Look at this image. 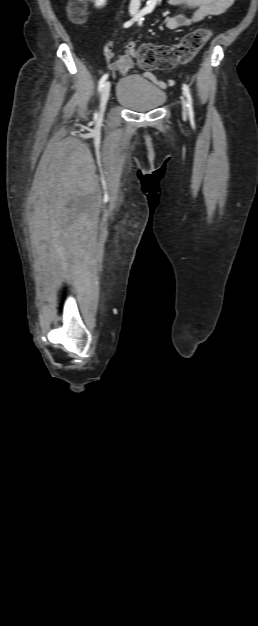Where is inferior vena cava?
Wrapping results in <instances>:
<instances>
[{"label":"inferior vena cava","mask_w":258,"mask_h":626,"mask_svg":"<svg viewBox=\"0 0 258 626\" xmlns=\"http://www.w3.org/2000/svg\"><path fill=\"white\" fill-rule=\"evenodd\" d=\"M140 5H141V0H131L130 6H129L130 14L135 15L139 11Z\"/></svg>","instance_id":"602c4592"}]
</instances>
